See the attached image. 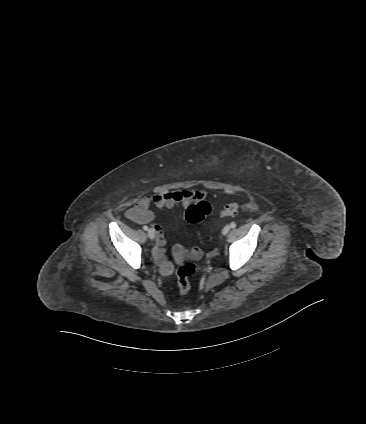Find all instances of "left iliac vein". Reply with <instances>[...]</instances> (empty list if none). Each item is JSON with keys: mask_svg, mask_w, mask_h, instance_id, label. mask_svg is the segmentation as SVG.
<instances>
[{"mask_svg": "<svg viewBox=\"0 0 366 424\" xmlns=\"http://www.w3.org/2000/svg\"><path fill=\"white\" fill-rule=\"evenodd\" d=\"M229 230H230V226H229V225L225 226V227L223 228V230H222V234H223V235H227V234H228V232H229Z\"/></svg>", "mask_w": 366, "mask_h": 424, "instance_id": "1", "label": "left iliac vein"}]
</instances>
